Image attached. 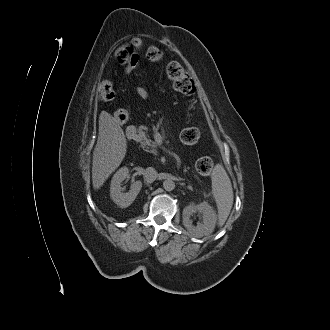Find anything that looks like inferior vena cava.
Returning <instances> with one entry per match:
<instances>
[{
	"label": "inferior vena cava",
	"mask_w": 330,
	"mask_h": 330,
	"mask_svg": "<svg viewBox=\"0 0 330 330\" xmlns=\"http://www.w3.org/2000/svg\"><path fill=\"white\" fill-rule=\"evenodd\" d=\"M144 176H145V179L148 183H152L157 179L158 173L154 168L148 167L145 170Z\"/></svg>",
	"instance_id": "inferior-vena-cava-1"
}]
</instances>
